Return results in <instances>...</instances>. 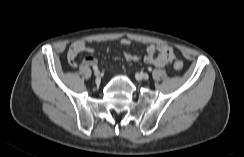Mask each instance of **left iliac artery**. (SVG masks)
Masks as SVG:
<instances>
[{
  "label": "left iliac artery",
  "instance_id": "obj_1",
  "mask_svg": "<svg viewBox=\"0 0 244 157\" xmlns=\"http://www.w3.org/2000/svg\"><path fill=\"white\" fill-rule=\"evenodd\" d=\"M148 70H149V71H152V69H151V68H148Z\"/></svg>",
  "mask_w": 244,
  "mask_h": 157
}]
</instances>
